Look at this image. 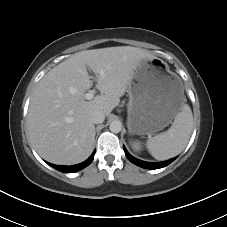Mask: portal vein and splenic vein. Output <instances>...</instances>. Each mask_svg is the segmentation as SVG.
Segmentation results:
<instances>
[{
	"mask_svg": "<svg viewBox=\"0 0 227 227\" xmlns=\"http://www.w3.org/2000/svg\"><path fill=\"white\" fill-rule=\"evenodd\" d=\"M95 90H90L88 93L85 94V99L91 100L94 97Z\"/></svg>",
	"mask_w": 227,
	"mask_h": 227,
	"instance_id": "1",
	"label": "portal vein and splenic vein"
}]
</instances>
